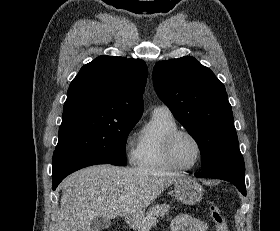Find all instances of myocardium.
Listing matches in <instances>:
<instances>
[{
    "mask_svg": "<svg viewBox=\"0 0 280 231\" xmlns=\"http://www.w3.org/2000/svg\"><path fill=\"white\" fill-rule=\"evenodd\" d=\"M180 135H188V136L192 137L195 140V142L197 143V145H198L199 157H198L197 163L194 166H191V167L180 166V165H178L175 162V160L173 158V145H174L175 140ZM163 150H164V156H165L166 160L175 169L180 170V171H192V170H195L198 167H200V165L202 164L203 159H204V146H203L202 141L199 139V137L195 133H193V132H191L189 130H186V129L178 128V129L172 131L171 133H169L167 135V137L165 138Z\"/></svg>",
    "mask_w": 280,
    "mask_h": 231,
    "instance_id": "myocardium-1",
    "label": "myocardium"
}]
</instances>
